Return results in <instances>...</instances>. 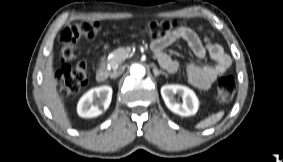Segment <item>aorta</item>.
<instances>
[{
    "instance_id": "aorta-1",
    "label": "aorta",
    "mask_w": 283,
    "mask_h": 162,
    "mask_svg": "<svg viewBox=\"0 0 283 162\" xmlns=\"http://www.w3.org/2000/svg\"><path fill=\"white\" fill-rule=\"evenodd\" d=\"M145 72V68L140 64H133L130 67V74L136 78L144 77Z\"/></svg>"
}]
</instances>
